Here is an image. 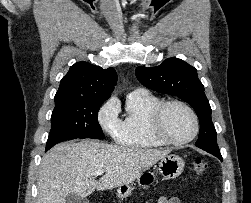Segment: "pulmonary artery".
Wrapping results in <instances>:
<instances>
[{
    "instance_id": "pulmonary-artery-1",
    "label": "pulmonary artery",
    "mask_w": 251,
    "mask_h": 203,
    "mask_svg": "<svg viewBox=\"0 0 251 203\" xmlns=\"http://www.w3.org/2000/svg\"><path fill=\"white\" fill-rule=\"evenodd\" d=\"M146 94H148V91L144 88H137L130 93V95H146Z\"/></svg>"
}]
</instances>
